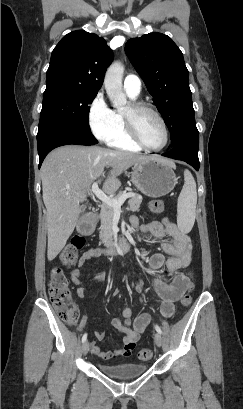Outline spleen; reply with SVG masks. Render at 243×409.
<instances>
[{
    "instance_id": "spleen-1",
    "label": "spleen",
    "mask_w": 243,
    "mask_h": 409,
    "mask_svg": "<svg viewBox=\"0 0 243 409\" xmlns=\"http://www.w3.org/2000/svg\"><path fill=\"white\" fill-rule=\"evenodd\" d=\"M196 182L189 170L184 171V185L177 202V224L179 229L188 233L193 228L196 217Z\"/></svg>"
}]
</instances>
